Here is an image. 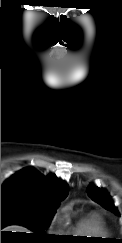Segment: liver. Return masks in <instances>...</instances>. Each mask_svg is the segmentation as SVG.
I'll return each instance as SVG.
<instances>
[{"instance_id":"liver-1","label":"liver","mask_w":122,"mask_h":243,"mask_svg":"<svg viewBox=\"0 0 122 243\" xmlns=\"http://www.w3.org/2000/svg\"><path fill=\"white\" fill-rule=\"evenodd\" d=\"M3 231L31 233L26 228H23L21 226H9L5 228Z\"/></svg>"}]
</instances>
